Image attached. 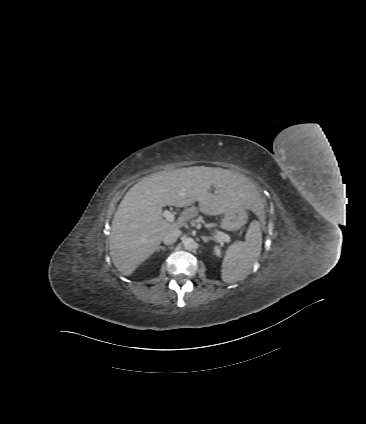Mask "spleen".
<instances>
[{
  "instance_id": "1",
  "label": "spleen",
  "mask_w": 366,
  "mask_h": 424,
  "mask_svg": "<svg viewBox=\"0 0 366 424\" xmlns=\"http://www.w3.org/2000/svg\"><path fill=\"white\" fill-rule=\"evenodd\" d=\"M262 218L263 214H258ZM259 221H253L245 236V242L230 245L221 265V277L226 283H234L245 279L261 254L262 232Z\"/></svg>"
}]
</instances>
